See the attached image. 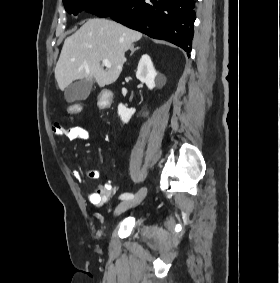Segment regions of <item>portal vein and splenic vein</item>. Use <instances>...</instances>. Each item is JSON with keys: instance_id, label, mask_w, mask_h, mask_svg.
Returning a JSON list of instances; mask_svg holds the SVG:
<instances>
[{"instance_id": "1", "label": "portal vein and splenic vein", "mask_w": 280, "mask_h": 283, "mask_svg": "<svg viewBox=\"0 0 280 283\" xmlns=\"http://www.w3.org/2000/svg\"><path fill=\"white\" fill-rule=\"evenodd\" d=\"M102 64L105 66V67H111V63L109 60L105 59L102 61Z\"/></svg>"}]
</instances>
